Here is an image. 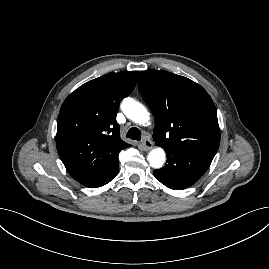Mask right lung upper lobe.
<instances>
[{"label": "right lung upper lobe", "mask_w": 269, "mask_h": 269, "mask_svg": "<svg viewBox=\"0 0 269 269\" xmlns=\"http://www.w3.org/2000/svg\"><path fill=\"white\" fill-rule=\"evenodd\" d=\"M138 71L108 73L72 92L63 102L57 123L56 146L69 174L92 187L119 163L129 147L120 138L116 115L120 101L135 88Z\"/></svg>", "instance_id": "right-lung-upper-lobe-1"}]
</instances>
